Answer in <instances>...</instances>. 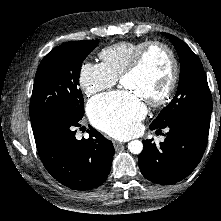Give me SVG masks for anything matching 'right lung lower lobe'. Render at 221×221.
Listing matches in <instances>:
<instances>
[{
	"label": "right lung lower lobe",
	"instance_id": "1",
	"mask_svg": "<svg viewBox=\"0 0 221 221\" xmlns=\"http://www.w3.org/2000/svg\"><path fill=\"white\" fill-rule=\"evenodd\" d=\"M38 153L47 171L74 190H90L107 178L115 153L113 144L90 127L89 138L77 140L79 120L52 113L31 122Z\"/></svg>",
	"mask_w": 221,
	"mask_h": 221
}]
</instances>
